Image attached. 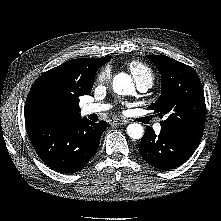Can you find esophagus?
<instances>
[{
    "label": "esophagus",
    "instance_id": "1",
    "mask_svg": "<svg viewBox=\"0 0 221 221\" xmlns=\"http://www.w3.org/2000/svg\"><path fill=\"white\" fill-rule=\"evenodd\" d=\"M127 123H128L127 120H122V119H116L112 122L113 125H125Z\"/></svg>",
    "mask_w": 221,
    "mask_h": 221
}]
</instances>
